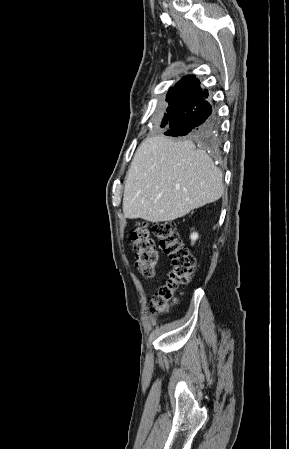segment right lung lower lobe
<instances>
[{"label": "right lung lower lobe", "mask_w": 289, "mask_h": 449, "mask_svg": "<svg viewBox=\"0 0 289 449\" xmlns=\"http://www.w3.org/2000/svg\"><path fill=\"white\" fill-rule=\"evenodd\" d=\"M194 76L183 77L167 94L171 118L165 130L167 136H206L215 130L216 120L211 105L205 100Z\"/></svg>", "instance_id": "right-lung-lower-lobe-1"}]
</instances>
